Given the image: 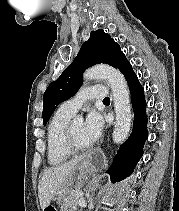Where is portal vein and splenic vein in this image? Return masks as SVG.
<instances>
[{"mask_svg":"<svg viewBox=\"0 0 179 211\" xmlns=\"http://www.w3.org/2000/svg\"><path fill=\"white\" fill-rule=\"evenodd\" d=\"M83 195V192H77L76 193V196H78V197H80V196H82Z\"/></svg>","mask_w":179,"mask_h":211,"instance_id":"18ae733b","label":"portal vein and splenic vein"}]
</instances>
